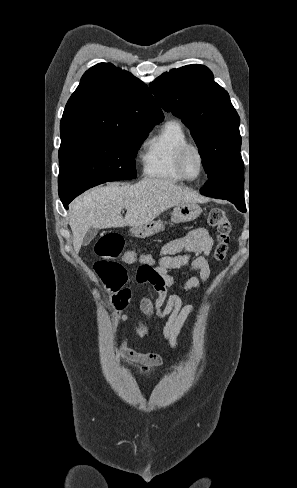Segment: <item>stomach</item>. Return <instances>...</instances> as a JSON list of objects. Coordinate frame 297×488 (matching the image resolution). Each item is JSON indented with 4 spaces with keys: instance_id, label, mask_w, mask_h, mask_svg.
Masks as SVG:
<instances>
[{
    "instance_id": "1",
    "label": "stomach",
    "mask_w": 297,
    "mask_h": 488,
    "mask_svg": "<svg viewBox=\"0 0 297 488\" xmlns=\"http://www.w3.org/2000/svg\"><path fill=\"white\" fill-rule=\"evenodd\" d=\"M201 213L202 208L196 202L181 203L176 205L171 212V221L173 223L190 222L197 219ZM162 230H164L162 220H156L140 226H134L130 231L133 236L147 238Z\"/></svg>"
}]
</instances>
